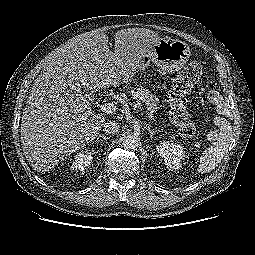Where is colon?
Returning <instances> with one entry per match:
<instances>
[{
	"label": "colon",
	"instance_id": "colon-1",
	"mask_svg": "<svg viewBox=\"0 0 255 255\" xmlns=\"http://www.w3.org/2000/svg\"><path fill=\"white\" fill-rule=\"evenodd\" d=\"M201 77V64L198 62H191L174 80L172 90L169 93L170 120L185 137H194L197 135L195 125L188 120L186 94L201 80ZM207 98L210 103L216 104L220 101V94L216 90H211Z\"/></svg>",
	"mask_w": 255,
	"mask_h": 255
}]
</instances>
